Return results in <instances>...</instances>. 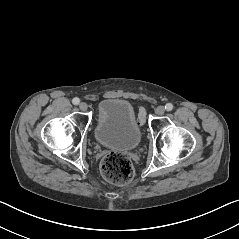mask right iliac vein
Listing matches in <instances>:
<instances>
[{
	"mask_svg": "<svg viewBox=\"0 0 239 239\" xmlns=\"http://www.w3.org/2000/svg\"><path fill=\"white\" fill-rule=\"evenodd\" d=\"M79 108H80L81 111H86L87 108H88V105L85 102H81L79 104Z\"/></svg>",
	"mask_w": 239,
	"mask_h": 239,
	"instance_id": "right-iliac-vein-1",
	"label": "right iliac vein"
}]
</instances>
